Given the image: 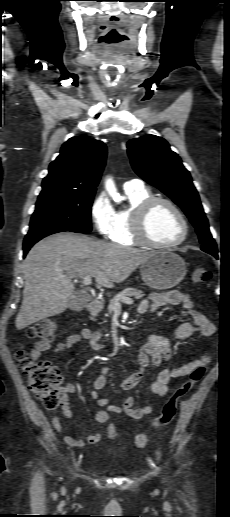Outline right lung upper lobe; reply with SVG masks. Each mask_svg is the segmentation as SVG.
<instances>
[{"label":"right lung upper lobe","instance_id":"right-lung-upper-lobe-1","mask_svg":"<svg viewBox=\"0 0 230 517\" xmlns=\"http://www.w3.org/2000/svg\"><path fill=\"white\" fill-rule=\"evenodd\" d=\"M106 155V146L99 140L70 138L62 145L60 155L50 164L39 197L95 193L105 166Z\"/></svg>","mask_w":230,"mask_h":517}]
</instances>
